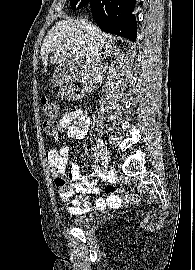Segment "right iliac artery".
<instances>
[{
  "mask_svg": "<svg viewBox=\"0 0 195 270\" xmlns=\"http://www.w3.org/2000/svg\"><path fill=\"white\" fill-rule=\"evenodd\" d=\"M96 161L98 162V154L95 152Z\"/></svg>",
  "mask_w": 195,
  "mask_h": 270,
  "instance_id": "right-iliac-artery-1",
  "label": "right iliac artery"
}]
</instances>
